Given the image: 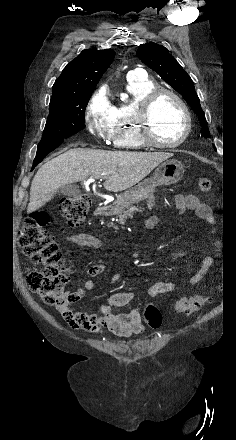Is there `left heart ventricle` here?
Wrapping results in <instances>:
<instances>
[{"label": "left heart ventricle", "instance_id": "1", "mask_svg": "<svg viewBox=\"0 0 236 440\" xmlns=\"http://www.w3.org/2000/svg\"><path fill=\"white\" fill-rule=\"evenodd\" d=\"M154 137L169 143L178 140L185 129V117L179 104L169 95L158 98L151 112Z\"/></svg>", "mask_w": 236, "mask_h": 440}]
</instances>
